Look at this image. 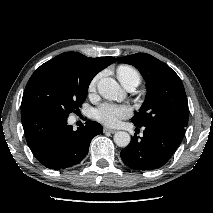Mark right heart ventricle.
<instances>
[{
    "label": "right heart ventricle",
    "mask_w": 213,
    "mask_h": 213,
    "mask_svg": "<svg viewBox=\"0 0 213 213\" xmlns=\"http://www.w3.org/2000/svg\"><path fill=\"white\" fill-rule=\"evenodd\" d=\"M117 76L122 84L132 78L140 80L138 72L133 67L128 65L119 66L117 69Z\"/></svg>",
    "instance_id": "obj_1"
}]
</instances>
